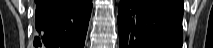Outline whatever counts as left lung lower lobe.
Segmentation results:
<instances>
[{
  "mask_svg": "<svg viewBox=\"0 0 213 48\" xmlns=\"http://www.w3.org/2000/svg\"><path fill=\"white\" fill-rule=\"evenodd\" d=\"M183 0H121L120 48H182Z\"/></svg>",
  "mask_w": 213,
  "mask_h": 48,
  "instance_id": "1",
  "label": "left lung lower lobe"
}]
</instances>
